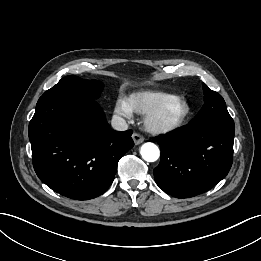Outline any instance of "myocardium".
I'll use <instances>...</instances> for the list:
<instances>
[{
	"instance_id": "1",
	"label": "myocardium",
	"mask_w": 261,
	"mask_h": 261,
	"mask_svg": "<svg viewBox=\"0 0 261 261\" xmlns=\"http://www.w3.org/2000/svg\"><path fill=\"white\" fill-rule=\"evenodd\" d=\"M172 107H177V112L173 115H169V111ZM189 111V105L184 99L178 96H171L155 110L146 114L144 124L147 130L152 133H168L183 124Z\"/></svg>"
}]
</instances>
